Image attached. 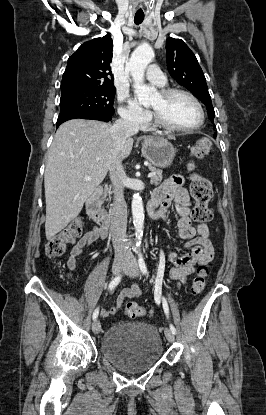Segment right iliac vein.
Returning <instances> with one entry per match:
<instances>
[{
    "label": "right iliac vein",
    "instance_id": "obj_1",
    "mask_svg": "<svg viewBox=\"0 0 266 415\" xmlns=\"http://www.w3.org/2000/svg\"><path fill=\"white\" fill-rule=\"evenodd\" d=\"M127 261L122 259V258H118L115 259L113 262V266H112V272L114 275H118L126 266ZM92 331L95 334H98L101 331V324L99 320H94L93 324H92Z\"/></svg>",
    "mask_w": 266,
    "mask_h": 415
}]
</instances>
